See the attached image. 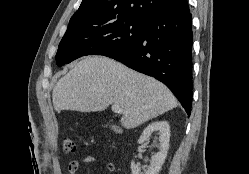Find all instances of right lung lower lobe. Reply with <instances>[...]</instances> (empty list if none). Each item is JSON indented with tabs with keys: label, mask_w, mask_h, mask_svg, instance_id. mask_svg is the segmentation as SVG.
Instances as JSON below:
<instances>
[{
	"label": "right lung lower lobe",
	"mask_w": 249,
	"mask_h": 174,
	"mask_svg": "<svg viewBox=\"0 0 249 174\" xmlns=\"http://www.w3.org/2000/svg\"><path fill=\"white\" fill-rule=\"evenodd\" d=\"M192 42V16L186 7L149 17L136 42L122 52L105 56L163 82L190 116Z\"/></svg>",
	"instance_id": "98d812e1"
}]
</instances>
